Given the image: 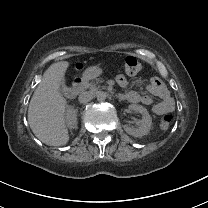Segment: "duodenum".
Here are the masks:
<instances>
[{
  "instance_id": "1",
  "label": "duodenum",
  "mask_w": 208,
  "mask_h": 208,
  "mask_svg": "<svg viewBox=\"0 0 208 208\" xmlns=\"http://www.w3.org/2000/svg\"><path fill=\"white\" fill-rule=\"evenodd\" d=\"M85 80L83 78H76L70 90L72 96L78 95L84 88Z\"/></svg>"
}]
</instances>
